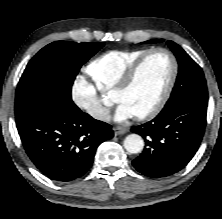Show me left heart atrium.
Instances as JSON below:
<instances>
[{"mask_svg": "<svg viewBox=\"0 0 222 219\" xmlns=\"http://www.w3.org/2000/svg\"><path fill=\"white\" fill-rule=\"evenodd\" d=\"M134 116L135 113L128 105H126L125 103H119L114 115V120L116 122H124L128 119L133 118Z\"/></svg>", "mask_w": 222, "mask_h": 219, "instance_id": "1", "label": "left heart atrium"}]
</instances>
